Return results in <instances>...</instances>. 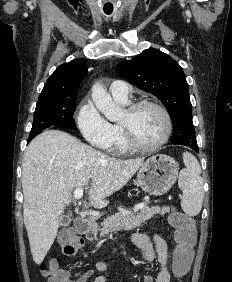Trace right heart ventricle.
I'll return each mask as SVG.
<instances>
[{"label":"right heart ventricle","instance_id":"e07e8e85","mask_svg":"<svg viewBox=\"0 0 232 282\" xmlns=\"http://www.w3.org/2000/svg\"><path fill=\"white\" fill-rule=\"evenodd\" d=\"M119 102L126 103L123 101H119ZM111 127L113 131V140H112L110 150L117 154H123V153L128 152L130 148L128 147V145L125 142L120 124H111Z\"/></svg>","mask_w":232,"mask_h":282}]
</instances>
